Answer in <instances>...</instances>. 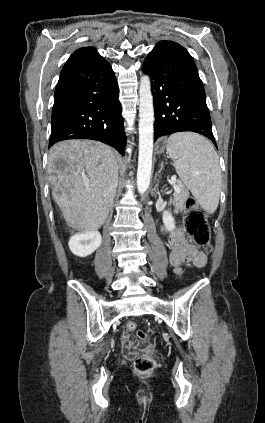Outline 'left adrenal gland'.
Here are the masks:
<instances>
[{
  "label": "left adrenal gland",
  "instance_id": "left-adrenal-gland-1",
  "mask_svg": "<svg viewBox=\"0 0 265 423\" xmlns=\"http://www.w3.org/2000/svg\"><path fill=\"white\" fill-rule=\"evenodd\" d=\"M161 168H163V162H162V164H161Z\"/></svg>",
  "mask_w": 265,
  "mask_h": 423
}]
</instances>
